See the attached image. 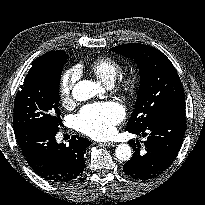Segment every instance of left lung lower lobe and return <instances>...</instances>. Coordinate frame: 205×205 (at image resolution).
<instances>
[{
	"mask_svg": "<svg viewBox=\"0 0 205 205\" xmlns=\"http://www.w3.org/2000/svg\"><path fill=\"white\" fill-rule=\"evenodd\" d=\"M186 130L185 108L164 113L146 124L142 129L128 131L145 137V148L139 141L128 143L133 147L132 158L125 163L123 171L134 179H153L165 171L177 156Z\"/></svg>",
	"mask_w": 205,
	"mask_h": 205,
	"instance_id": "obj_1",
	"label": "left lung lower lobe"
}]
</instances>
